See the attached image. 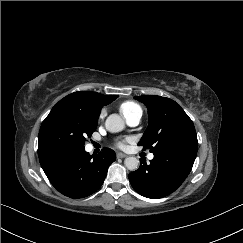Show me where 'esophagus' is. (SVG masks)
I'll return each instance as SVG.
<instances>
[{"mask_svg": "<svg viewBox=\"0 0 243 243\" xmlns=\"http://www.w3.org/2000/svg\"><path fill=\"white\" fill-rule=\"evenodd\" d=\"M116 156H117L118 158H125L127 155L118 152V153L116 154Z\"/></svg>", "mask_w": 243, "mask_h": 243, "instance_id": "obj_1", "label": "esophagus"}]
</instances>
